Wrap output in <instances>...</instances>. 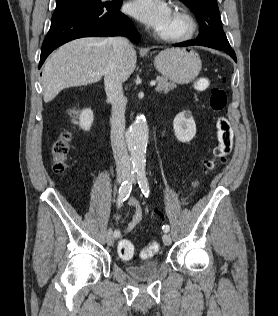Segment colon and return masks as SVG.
<instances>
[{"label":"colon","instance_id":"1","mask_svg":"<svg viewBox=\"0 0 278 316\" xmlns=\"http://www.w3.org/2000/svg\"><path fill=\"white\" fill-rule=\"evenodd\" d=\"M205 80H198L196 82L197 89L206 88ZM227 93L224 89H213L209 98L210 108L216 112L225 109L227 105ZM68 115L71 119H75L76 113L74 110H69ZM217 130V145L213 150V156L204 164V173L213 171L218 165L225 162L227 156L231 153L233 147V130L227 118L220 115L216 118ZM70 134L62 133L57 140L51 145V154L53 157V170L55 173H62L65 170L66 160L70 152ZM159 250V244L152 241L141 252L142 258H149L155 255ZM118 253L120 257L129 259L134 254V246L129 240H121L118 245Z\"/></svg>","mask_w":278,"mask_h":316}]
</instances>
